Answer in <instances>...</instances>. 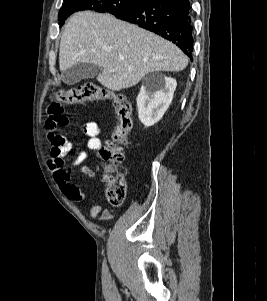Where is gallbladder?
<instances>
[{"label": "gallbladder", "instance_id": "obj_1", "mask_svg": "<svg viewBox=\"0 0 267 301\" xmlns=\"http://www.w3.org/2000/svg\"><path fill=\"white\" fill-rule=\"evenodd\" d=\"M102 72V67L87 62H80L63 71L62 81L67 85H75L83 79L96 78Z\"/></svg>", "mask_w": 267, "mask_h": 301}]
</instances>
